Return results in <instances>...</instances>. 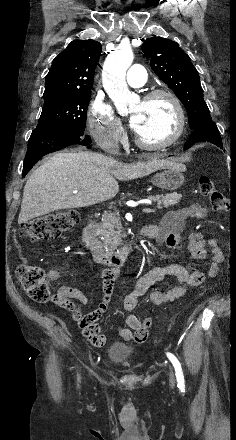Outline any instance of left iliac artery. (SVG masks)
Returning a JSON list of instances; mask_svg holds the SVG:
<instances>
[{"label":"left iliac artery","instance_id":"1","mask_svg":"<svg viewBox=\"0 0 236 440\" xmlns=\"http://www.w3.org/2000/svg\"><path fill=\"white\" fill-rule=\"evenodd\" d=\"M167 357L169 358V360L171 361V363L175 368L176 378L178 383L177 386L179 389H181V391H183L185 389V380H184L181 364L173 354L167 353Z\"/></svg>","mask_w":236,"mask_h":440}]
</instances>
